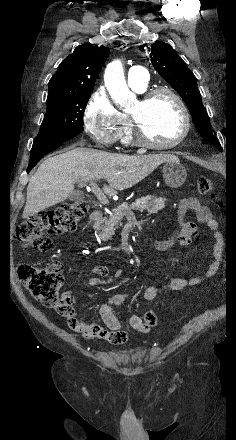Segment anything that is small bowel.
Segmentation results:
<instances>
[{"mask_svg":"<svg viewBox=\"0 0 236 440\" xmlns=\"http://www.w3.org/2000/svg\"><path fill=\"white\" fill-rule=\"evenodd\" d=\"M188 212H194L196 219L200 223H204L208 226L212 232L214 238V262L210 265L208 271L199 277L193 278H174L164 285H151L144 291V298L147 301H155L161 290L168 291H181L189 287L199 285L205 280L212 278L220 267V258L222 256V235L218 231V223L213 218L209 207L202 205L196 198L188 197L180 200L178 210L179 229L171 237L167 239H159L155 242V246L159 251H167L175 240L183 247L189 248L193 243L198 241L199 232L194 222L185 220V216ZM59 266V265H58ZM60 267V266H59ZM94 276L89 278L87 285L89 287H97L105 285L111 282L113 279H118L122 276L121 270H116L112 278H106L108 275V268L103 265H98L93 270ZM62 296L68 300L69 305L67 307L66 319L78 320L76 314L71 306L74 301L72 292L65 291ZM126 298L125 294L118 293L111 296L106 302L100 305L99 313L105 324V327L95 324L94 321H69L68 329L76 330L86 338L98 337L111 344H123L127 341L128 336H133L134 333H149L151 326L144 324L140 315L132 314L129 318V326L125 330L121 327V324L117 317L113 313V307L121 305Z\"/></svg>","mask_w":236,"mask_h":440,"instance_id":"small-bowel-1","label":"small bowel"}]
</instances>
